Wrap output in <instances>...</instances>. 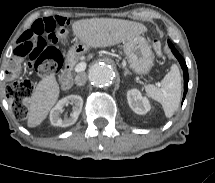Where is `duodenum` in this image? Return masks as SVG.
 I'll use <instances>...</instances> for the list:
<instances>
[{"label":"duodenum","mask_w":215,"mask_h":183,"mask_svg":"<svg viewBox=\"0 0 215 183\" xmlns=\"http://www.w3.org/2000/svg\"><path fill=\"white\" fill-rule=\"evenodd\" d=\"M71 66V63L67 62L60 73L59 80L63 90H69L72 87L73 79L70 73Z\"/></svg>","instance_id":"obj_1"}]
</instances>
